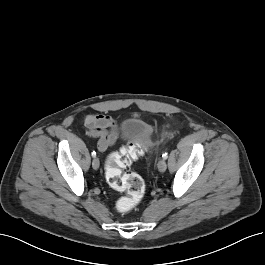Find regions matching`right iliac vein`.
Instances as JSON below:
<instances>
[{
	"mask_svg": "<svg viewBox=\"0 0 265 265\" xmlns=\"http://www.w3.org/2000/svg\"><path fill=\"white\" fill-rule=\"evenodd\" d=\"M100 166V161L97 157H95L92 161V167L97 170Z\"/></svg>",
	"mask_w": 265,
	"mask_h": 265,
	"instance_id": "obj_1",
	"label": "right iliac vein"
}]
</instances>
